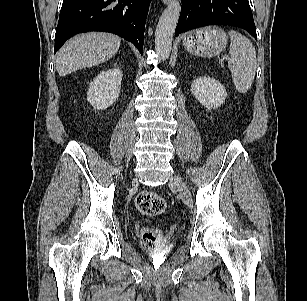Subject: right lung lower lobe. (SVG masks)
<instances>
[{
	"instance_id": "obj_1",
	"label": "right lung lower lobe",
	"mask_w": 307,
	"mask_h": 301,
	"mask_svg": "<svg viewBox=\"0 0 307 301\" xmlns=\"http://www.w3.org/2000/svg\"><path fill=\"white\" fill-rule=\"evenodd\" d=\"M150 2L151 0H63L54 52L77 33L106 31L132 42L142 54Z\"/></svg>"
}]
</instances>
